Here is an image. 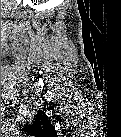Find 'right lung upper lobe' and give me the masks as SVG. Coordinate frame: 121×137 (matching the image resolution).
Returning <instances> with one entry per match:
<instances>
[{
    "instance_id": "right-lung-upper-lobe-1",
    "label": "right lung upper lobe",
    "mask_w": 121,
    "mask_h": 137,
    "mask_svg": "<svg viewBox=\"0 0 121 137\" xmlns=\"http://www.w3.org/2000/svg\"><path fill=\"white\" fill-rule=\"evenodd\" d=\"M29 131L34 135H44L47 132H54V128L46 115L39 110L33 124L29 126Z\"/></svg>"
}]
</instances>
